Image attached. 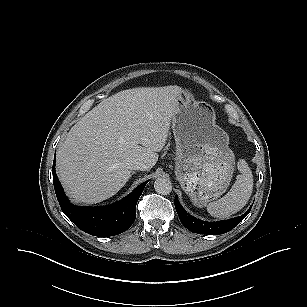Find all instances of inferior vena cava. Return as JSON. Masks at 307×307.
<instances>
[{
	"label": "inferior vena cava",
	"instance_id": "obj_1",
	"mask_svg": "<svg viewBox=\"0 0 307 307\" xmlns=\"http://www.w3.org/2000/svg\"><path fill=\"white\" fill-rule=\"evenodd\" d=\"M127 168L130 170H144L145 165L141 161H132L127 164Z\"/></svg>",
	"mask_w": 307,
	"mask_h": 307
}]
</instances>
